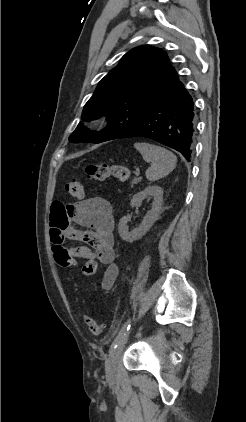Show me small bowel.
Returning <instances> with one entry per match:
<instances>
[{"label":"small bowel","mask_w":246,"mask_h":422,"mask_svg":"<svg viewBox=\"0 0 246 422\" xmlns=\"http://www.w3.org/2000/svg\"><path fill=\"white\" fill-rule=\"evenodd\" d=\"M77 226L89 228L82 230ZM50 236L53 253L67 250L74 259L99 261L106 266L101 286L111 289L118 277L114 250V218L111 204L103 197H92L71 205L55 201L50 210ZM66 240L85 245L65 247Z\"/></svg>","instance_id":"1"}]
</instances>
